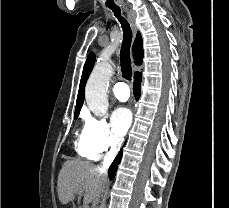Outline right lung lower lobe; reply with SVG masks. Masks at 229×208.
I'll use <instances>...</instances> for the list:
<instances>
[{
    "mask_svg": "<svg viewBox=\"0 0 229 208\" xmlns=\"http://www.w3.org/2000/svg\"><path fill=\"white\" fill-rule=\"evenodd\" d=\"M140 84H141V73H138L137 75L134 76V84H133V91L135 98L138 100L140 97ZM122 158V150L119 152L113 163L111 164L109 170H108V175L110 180H113L118 168V164L120 163Z\"/></svg>",
    "mask_w": 229,
    "mask_h": 208,
    "instance_id": "obj_1",
    "label": "right lung lower lobe"
}]
</instances>
